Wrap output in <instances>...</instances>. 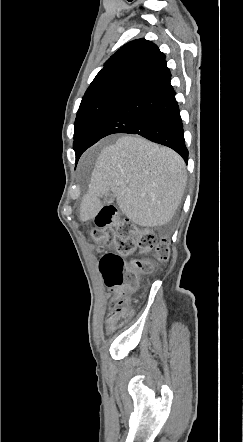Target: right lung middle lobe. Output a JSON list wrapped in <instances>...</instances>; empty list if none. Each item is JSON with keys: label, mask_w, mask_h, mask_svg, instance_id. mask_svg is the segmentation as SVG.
Instances as JSON below:
<instances>
[{"label": "right lung middle lobe", "mask_w": 243, "mask_h": 442, "mask_svg": "<svg viewBox=\"0 0 243 442\" xmlns=\"http://www.w3.org/2000/svg\"><path fill=\"white\" fill-rule=\"evenodd\" d=\"M129 92H114L81 101L75 120L73 149L76 162L86 150L94 132L112 110Z\"/></svg>", "instance_id": "1"}]
</instances>
